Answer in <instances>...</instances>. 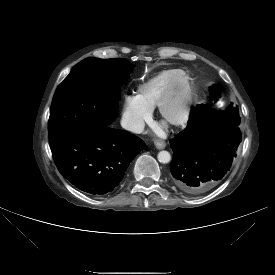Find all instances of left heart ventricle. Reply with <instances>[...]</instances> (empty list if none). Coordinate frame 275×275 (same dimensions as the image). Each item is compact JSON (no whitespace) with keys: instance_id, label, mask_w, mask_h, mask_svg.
<instances>
[{"instance_id":"1","label":"left heart ventricle","mask_w":275,"mask_h":275,"mask_svg":"<svg viewBox=\"0 0 275 275\" xmlns=\"http://www.w3.org/2000/svg\"><path fill=\"white\" fill-rule=\"evenodd\" d=\"M183 96H184V84H183L182 78L180 77L177 88L171 98V101L167 105L166 112L168 116L174 117L178 115L181 108Z\"/></svg>"}]
</instances>
